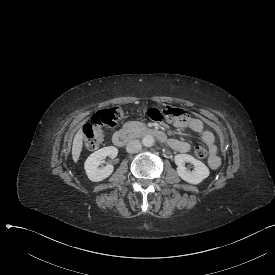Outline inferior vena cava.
<instances>
[{"label": "inferior vena cava", "instance_id": "obj_1", "mask_svg": "<svg viewBox=\"0 0 275 275\" xmlns=\"http://www.w3.org/2000/svg\"><path fill=\"white\" fill-rule=\"evenodd\" d=\"M141 150V142L138 140H131L126 145V151L128 153H136Z\"/></svg>", "mask_w": 275, "mask_h": 275}]
</instances>
